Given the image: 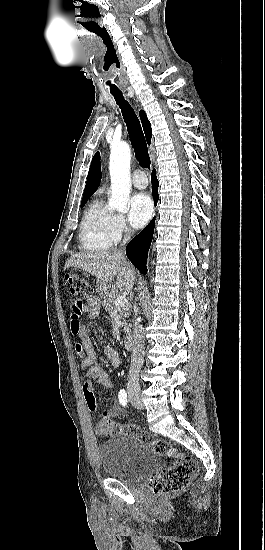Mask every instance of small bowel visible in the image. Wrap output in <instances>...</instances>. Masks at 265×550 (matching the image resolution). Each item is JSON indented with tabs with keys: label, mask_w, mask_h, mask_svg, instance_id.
Wrapping results in <instances>:
<instances>
[{
	"label": "small bowel",
	"mask_w": 265,
	"mask_h": 550,
	"mask_svg": "<svg viewBox=\"0 0 265 550\" xmlns=\"http://www.w3.org/2000/svg\"><path fill=\"white\" fill-rule=\"evenodd\" d=\"M100 309V299L97 296H92L88 299L84 312L91 317H95L99 314ZM73 332L80 340L76 345V352L81 358L80 367L86 377V381L83 385V394L89 409L91 411L98 412L102 418L119 416L123 412V409L119 404H115L103 411H98L94 389L98 386L103 388H111L113 386L112 378L101 364L95 362L96 353L91 339L89 338L87 329L79 322H76V325L73 327ZM103 353L106 359L113 366L120 365V355L114 348L105 346Z\"/></svg>",
	"instance_id": "obj_1"
}]
</instances>
